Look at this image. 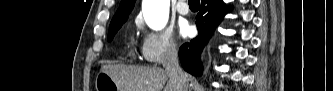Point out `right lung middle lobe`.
<instances>
[{
    "mask_svg": "<svg viewBox=\"0 0 333 91\" xmlns=\"http://www.w3.org/2000/svg\"><path fill=\"white\" fill-rule=\"evenodd\" d=\"M127 18H121L118 20L111 21L108 32V41L111 42L117 31L126 22Z\"/></svg>",
    "mask_w": 333,
    "mask_h": 91,
    "instance_id": "obj_1",
    "label": "right lung middle lobe"
}]
</instances>
